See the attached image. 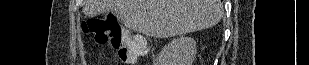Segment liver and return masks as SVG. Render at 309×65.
<instances>
[{"label": "liver", "instance_id": "6515ba94", "mask_svg": "<svg viewBox=\"0 0 309 65\" xmlns=\"http://www.w3.org/2000/svg\"><path fill=\"white\" fill-rule=\"evenodd\" d=\"M222 9L221 0H85L83 13L113 11L133 31L163 38L211 28Z\"/></svg>", "mask_w": 309, "mask_h": 65}]
</instances>
